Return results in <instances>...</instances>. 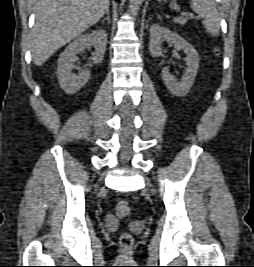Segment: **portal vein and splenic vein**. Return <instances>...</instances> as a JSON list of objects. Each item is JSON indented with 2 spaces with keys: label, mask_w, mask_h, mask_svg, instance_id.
<instances>
[{
  "label": "portal vein and splenic vein",
  "mask_w": 254,
  "mask_h": 267,
  "mask_svg": "<svg viewBox=\"0 0 254 267\" xmlns=\"http://www.w3.org/2000/svg\"><path fill=\"white\" fill-rule=\"evenodd\" d=\"M176 9L179 10L178 7H176ZM182 15H191V14H188V13H186V12H182Z\"/></svg>",
  "instance_id": "obj_1"
}]
</instances>
